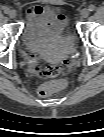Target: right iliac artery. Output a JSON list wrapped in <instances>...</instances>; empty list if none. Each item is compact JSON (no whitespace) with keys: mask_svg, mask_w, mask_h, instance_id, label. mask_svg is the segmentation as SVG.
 I'll return each instance as SVG.
<instances>
[{"mask_svg":"<svg viewBox=\"0 0 104 137\" xmlns=\"http://www.w3.org/2000/svg\"><path fill=\"white\" fill-rule=\"evenodd\" d=\"M3 11H4V13H8V11H9V8L8 7H3Z\"/></svg>","mask_w":104,"mask_h":137,"instance_id":"right-iliac-artery-1","label":"right iliac artery"}]
</instances>
